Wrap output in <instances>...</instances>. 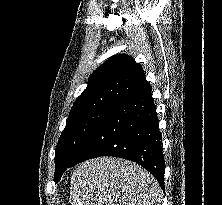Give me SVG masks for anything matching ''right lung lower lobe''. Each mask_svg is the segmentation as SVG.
Instances as JSON below:
<instances>
[{
	"instance_id": "obj_1",
	"label": "right lung lower lobe",
	"mask_w": 222,
	"mask_h": 205,
	"mask_svg": "<svg viewBox=\"0 0 222 205\" xmlns=\"http://www.w3.org/2000/svg\"><path fill=\"white\" fill-rule=\"evenodd\" d=\"M151 87L131 93L111 108L83 142L69 167L82 161L113 156L147 169L164 190V157Z\"/></svg>"
}]
</instances>
